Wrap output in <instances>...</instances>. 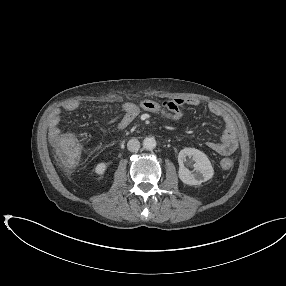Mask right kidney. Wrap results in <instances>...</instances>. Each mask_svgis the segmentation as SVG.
<instances>
[{"label": "right kidney", "mask_w": 286, "mask_h": 286, "mask_svg": "<svg viewBox=\"0 0 286 286\" xmlns=\"http://www.w3.org/2000/svg\"><path fill=\"white\" fill-rule=\"evenodd\" d=\"M106 164L105 163H103V162H101V163H98L97 165H96V167H95V173L97 174V175H102V174H104V172H105V170H106Z\"/></svg>", "instance_id": "right-kidney-1"}]
</instances>
